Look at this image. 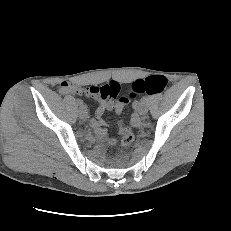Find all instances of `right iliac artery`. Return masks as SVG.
<instances>
[{
  "label": "right iliac artery",
  "instance_id": "right-iliac-artery-1",
  "mask_svg": "<svg viewBox=\"0 0 231 231\" xmlns=\"http://www.w3.org/2000/svg\"><path fill=\"white\" fill-rule=\"evenodd\" d=\"M77 104H78L79 106H83V101H82L81 99H77Z\"/></svg>",
  "mask_w": 231,
  "mask_h": 231
}]
</instances>
